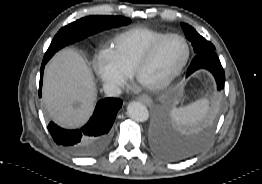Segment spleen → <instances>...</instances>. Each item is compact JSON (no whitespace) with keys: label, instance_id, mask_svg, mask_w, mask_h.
Masks as SVG:
<instances>
[{"label":"spleen","instance_id":"spleen-1","mask_svg":"<svg viewBox=\"0 0 262 184\" xmlns=\"http://www.w3.org/2000/svg\"><path fill=\"white\" fill-rule=\"evenodd\" d=\"M209 110V101L204 98L190 105L171 110V117L177 124L189 125L203 118Z\"/></svg>","mask_w":262,"mask_h":184}]
</instances>
